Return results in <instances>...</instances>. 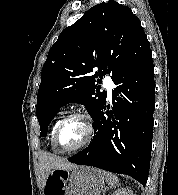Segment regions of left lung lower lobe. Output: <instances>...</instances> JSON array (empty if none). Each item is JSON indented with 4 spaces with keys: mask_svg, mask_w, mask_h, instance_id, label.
<instances>
[{
    "mask_svg": "<svg viewBox=\"0 0 178 195\" xmlns=\"http://www.w3.org/2000/svg\"><path fill=\"white\" fill-rule=\"evenodd\" d=\"M113 82L117 85L112 91L113 110L105 111L104 103L94 118L92 142L68 160L127 174L144 185L151 160L155 107L151 50Z\"/></svg>",
    "mask_w": 178,
    "mask_h": 195,
    "instance_id": "1",
    "label": "left lung lower lobe"
}]
</instances>
